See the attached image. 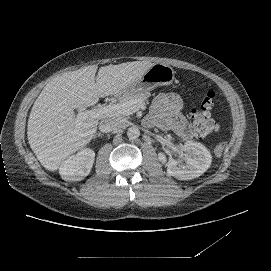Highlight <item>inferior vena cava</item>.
Returning <instances> with one entry per match:
<instances>
[{
  "label": "inferior vena cava",
  "mask_w": 271,
  "mask_h": 271,
  "mask_svg": "<svg viewBox=\"0 0 271 271\" xmlns=\"http://www.w3.org/2000/svg\"><path fill=\"white\" fill-rule=\"evenodd\" d=\"M125 122L122 119L111 118L101 121L99 124V130L103 133H109L125 128Z\"/></svg>",
  "instance_id": "1"
}]
</instances>
